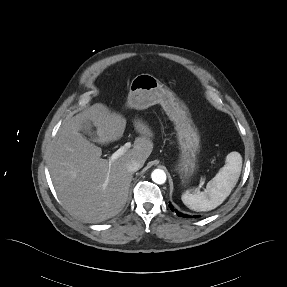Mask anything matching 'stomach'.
I'll list each match as a JSON object with an SVG mask.
<instances>
[{
	"instance_id": "obj_1",
	"label": "stomach",
	"mask_w": 287,
	"mask_h": 287,
	"mask_svg": "<svg viewBox=\"0 0 287 287\" xmlns=\"http://www.w3.org/2000/svg\"><path fill=\"white\" fill-rule=\"evenodd\" d=\"M160 104L174 123L180 149L176 170L187 183L197 171L200 135L186 104L151 74H139L130 83L127 106L137 110Z\"/></svg>"
}]
</instances>
